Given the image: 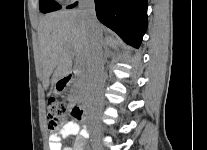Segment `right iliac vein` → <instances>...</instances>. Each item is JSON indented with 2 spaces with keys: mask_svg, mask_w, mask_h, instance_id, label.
<instances>
[{
  "mask_svg": "<svg viewBox=\"0 0 207 150\" xmlns=\"http://www.w3.org/2000/svg\"><path fill=\"white\" fill-rule=\"evenodd\" d=\"M94 150H103V148L99 144H95Z\"/></svg>",
  "mask_w": 207,
  "mask_h": 150,
  "instance_id": "63e3f726",
  "label": "right iliac vein"
}]
</instances>
